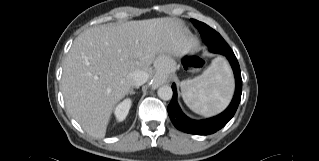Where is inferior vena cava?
<instances>
[{"label": "inferior vena cava", "mask_w": 319, "mask_h": 161, "mask_svg": "<svg viewBox=\"0 0 319 161\" xmlns=\"http://www.w3.org/2000/svg\"><path fill=\"white\" fill-rule=\"evenodd\" d=\"M129 78H130V83L132 86L139 87L148 80L149 75L148 73L144 71L137 70V71L131 72L129 74Z\"/></svg>", "instance_id": "obj_1"}]
</instances>
